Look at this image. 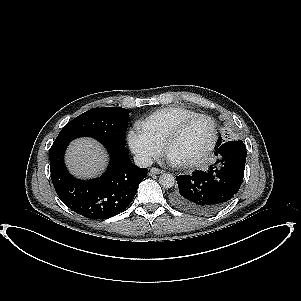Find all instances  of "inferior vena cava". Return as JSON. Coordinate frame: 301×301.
Instances as JSON below:
<instances>
[{"mask_svg": "<svg viewBox=\"0 0 301 301\" xmlns=\"http://www.w3.org/2000/svg\"><path fill=\"white\" fill-rule=\"evenodd\" d=\"M134 163L140 168H147L153 164V161L151 157L142 155V154H136L134 155Z\"/></svg>", "mask_w": 301, "mask_h": 301, "instance_id": "inferior-vena-cava-1", "label": "inferior vena cava"}]
</instances>
